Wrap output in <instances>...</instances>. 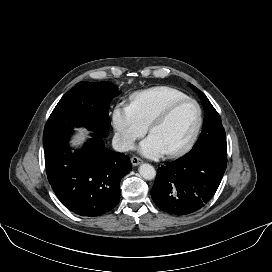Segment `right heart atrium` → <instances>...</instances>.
<instances>
[{
  "instance_id": "right-heart-atrium-1",
  "label": "right heart atrium",
  "mask_w": 272,
  "mask_h": 272,
  "mask_svg": "<svg viewBox=\"0 0 272 272\" xmlns=\"http://www.w3.org/2000/svg\"><path fill=\"white\" fill-rule=\"evenodd\" d=\"M112 123L116 140L124 150L130 149L135 141L146 132V127L140 122L130 106H117L113 112Z\"/></svg>"
}]
</instances>
